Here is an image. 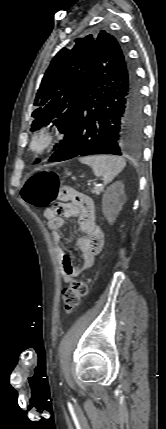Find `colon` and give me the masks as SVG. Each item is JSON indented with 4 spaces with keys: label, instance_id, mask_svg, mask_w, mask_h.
<instances>
[{
    "label": "colon",
    "instance_id": "colon-1",
    "mask_svg": "<svg viewBox=\"0 0 166 429\" xmlns=\"http://www.w3.org/2000/svg\"><path fill=\"white\" fill-rule=\"evenodd\" d=\"M23 199L37 208H44L56 199L68 200L80 206H86L89 198L70 187H60L59 176L53 171H37L25 182L22 191ZM89 290L86 278L74 279L63 289V309L72 312Z\"/></svg>",
    "mask_w": 166,
    "mask_h": 429
}]
</instances>
